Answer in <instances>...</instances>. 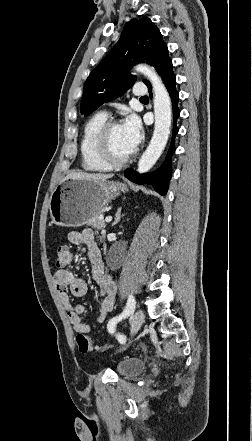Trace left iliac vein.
Returning <instances> with one entry per match:
<instances>
[{
    "label": "left iliac vein",
    "mask_w": 252,
    "mask_h": 441,
    "mask_svg": "<svg viewBox=\"0 0 252 441\" xmlns=\"http://www.w3.org/2000/svg\"><path fill=\"white\" fill-rule=\"evenodd\" d=\"M144 313L142 310H137L135 314L132 317L131 322V333L136 334L139 329L141 328L143 322H144Z\"/></svg>",
    "instance_id": "obj_1"
}]
</instances>
